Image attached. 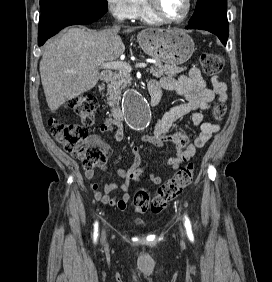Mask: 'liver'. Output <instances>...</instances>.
Wrapping results in <instances>:
<instances>
[{
  "label": "liver",
  "mask_w": 272,
  "mask_h": 282,
  "mask_svg": "<svg viewBox=\"0 0 272 282\" xmlns=\"http://www.w3.org/2000/svg\"><path fill=\"white\" fill-rule=\"evenodd\" d=\"M135 29L128 28L124 32ZM118 32L72 27L46 42L40 75L51 111L92 89L100 78L101 63L115 61L124 53L125 46Z\"/></svg>",
  "instance_id": "obj_1"
}]
</instances>
